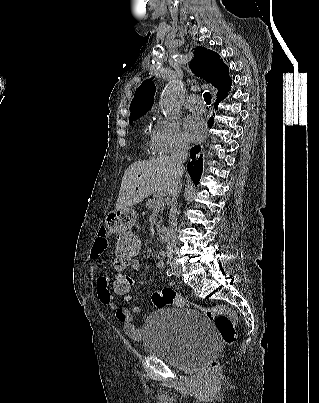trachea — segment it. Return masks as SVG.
I'll return each mask as SVG.
<instances>
[{
	"label": "trachea",
	"instance_id": "obj_1",
	"mask_svg": "<svg viewBox=\"0 0 319 403\" xmlns=\"http://www.w3.org/2000/svg\"><path fill=\"white\" fill-rule=\"evenodd\" d=\"M204 100L207 104H211V94L209 92H205L203 94Z\"/></svg>",
	"mask_w": 319,
	"mask_h": 403
}]
</instances>
